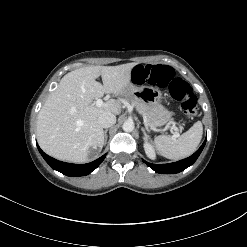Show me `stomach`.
Here are the masks:
<instances>
[{
	"mask_svg": "<svg viewBox=\"0 0 247 247\" xmlns=\"http://www.w3.org/2000/svg\"><path fill=\"white\" fill-rule=\"evenodd\" d=\"M126 95L139 99L148 105H160L163 98V94L158 88L152 86L136 87L133 84L127 89Z\"/></svg>",
	"mask_w": 247,
	"mask_h": 247,
	"instance_id": "1",
	"label": "stomach"
}]
</instances>
